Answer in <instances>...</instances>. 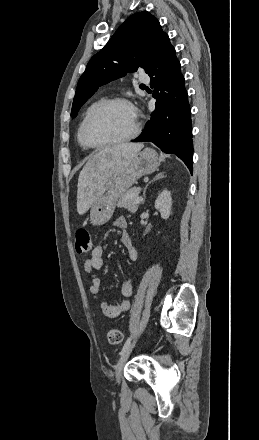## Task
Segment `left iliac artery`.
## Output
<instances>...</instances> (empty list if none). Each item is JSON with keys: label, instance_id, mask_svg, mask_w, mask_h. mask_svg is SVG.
I'll return each mask as SVG.
<instances>
[{"label": "left iliac artery", "instance_id": "1", "mask_svg": "<svg viewBox=\"0 0 259 440\" xmlns=\"http://www.w3.org/2000/svg\"><path fill=\"white\" fill-rule=\"evenodd\" d=\"M130 342H131V337H129L127 340H126V342H125V344H124V346H123V348H122V351L120 352V355H122L123 353H124V351L127 349V347L130 345Z\"/></svg>", "mask_w": 259, "mask_h": 440}]
</instances>
